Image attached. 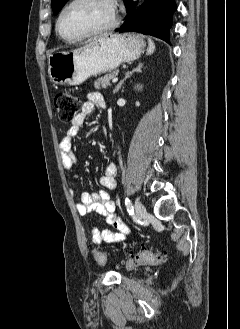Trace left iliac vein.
Segmentation results:
<instances>
[{
  "mask_svg": "<svg viewBox=\"0 0 240 329\" xmlns=\"http://www.w3.org/2000/svg\"><path fill=\"white\" fill-rule=\"evenodd\" d=\"M135 211L139 219H143L147 213L145 206L138 199L135 201Z\"/></svg>",
  "mask_w": 240,
  "mask_h": 329,
  "instance_id": "4c4485c4",
  "label": "left iliac vein"
}]
</instances>
